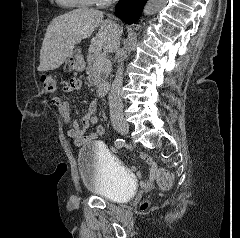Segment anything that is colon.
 Here are the masks:
<instances>
[{
  "mask_svg": "<svg viewBox=\"0 0 240 238\" xmlns=\"http://www.w3.org/2000/svg\"><path fill=\"white\" fill-rule=\"evenodd\" d=\"M41 82L46 92L53 93L56 91L57 89L56 81L51 75H43L41 78ZM155 177L157 178V181L162 188L167 189L171 186V177L166 170L158 169L156 171ZM146 207L147 203H144L142 205V208L145 209Z\"/></svg>",
  "mask_w": 240,
  "mask_h": 238,
  "instance_id": "5ec220e1",
  "label": "colon"
}]
</instances>
